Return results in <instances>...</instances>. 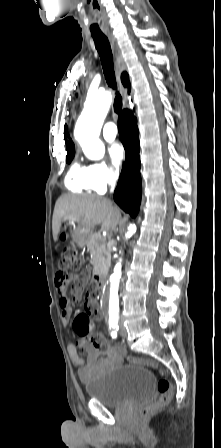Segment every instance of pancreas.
Returning <instances> with one entry per match:
<instances>
[{
	"label": "pancreas",
	"instance_id": "cf45deb5",
	"mask_svg": "<svg viewBox=\"0 0 221 448\" xmlns=\"http://www.w3.org/2000/svg\"><path fill=\"white\" fill-rule=\"evenodd\" d=\"M88 251L91 253V264L94 272L103 273L110 266V254L106 248V239L100 234L91 235L86 243Z\"/></svg>",
	"mask_w": 221,
	"mask_h": 448
}]
</instances>
